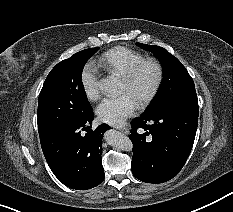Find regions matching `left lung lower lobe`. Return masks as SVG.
<instances>
[{"mask_svg":"<svg viewBox=\"0 0 233 212\" xmlns=\"http://www.w3.org/2000/svg\"><path fill=\"white\" fill-rule=\"evenodd\" d=\"M198 112V105L170 103L145 111L131 122V169L137 179L163 183L179 173L194 143ZM139 128L145 133H139Z\"/></svg>","mask_w":233,"mask_h":212,"instance_id":"1","label":"left lung lower lobe"}]
</instances>
